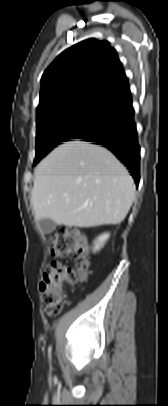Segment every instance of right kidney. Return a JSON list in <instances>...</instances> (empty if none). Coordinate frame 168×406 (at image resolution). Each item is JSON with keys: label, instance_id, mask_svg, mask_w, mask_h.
Wrapping results in <instances>:
<instances>
[{"label": "right kidney", "instance_id": "1", "mask_svg": "<svg viewBox=\"0 0 168 406\" xmlns=\"http://www.w3.org/2000/svg\"><path fill=\"white\" fill-rule=\"evenodd\" d=\"M109 238V234L108 233H105V234H103V235H101V236H99L98 238H97V240L95 241V246H94V250L96 251V250H99L103 245H104V243L106 242V240Z\"/></svg>", "mask_w": 168, "mask_h": 406}]
</instances>
